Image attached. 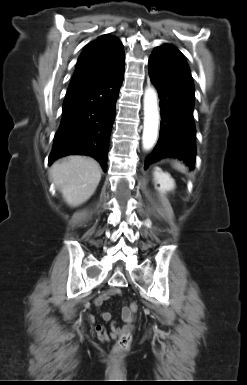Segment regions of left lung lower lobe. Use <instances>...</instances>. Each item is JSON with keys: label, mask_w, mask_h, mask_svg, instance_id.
I'll return each instance as SVG.
<instances>
[{"label": "left lung lower lobe", "mask_w": 247, "mask_h": 385, "mask_svg": "<svg viewBox=\"0 0 247 385\" xmlns=\"http://www.w3.org/2000/svg\"><path fill=\"white\" fill-rule=\"evenodd\" d=\"M161 108L159 140L146 158V169L164 157H177L187 165L195 162L194 84L181 52L173 45L158 46L148 63Z\"/></svg>", "instance_id": "left-lung-lower-lobe-1"}]
</instances>
